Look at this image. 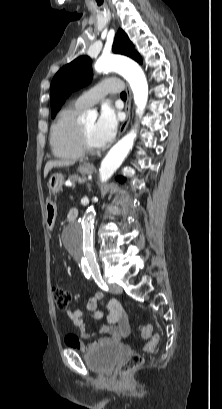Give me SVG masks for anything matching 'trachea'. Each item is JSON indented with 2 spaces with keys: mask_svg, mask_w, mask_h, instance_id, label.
<instances>
[{
  "mask_svg": "<svg viewBox=\"0 0 222 409\" xmlns=\"http://www.w3.org/2000/svg\"><path fill=\"white\" fill-rule=\"evenodd\" d=\"M120 96H121L122 99H126V98H127V95H126L125 92H122V93L120 94Z\"/></svg>",
  "mask_w": 222,
  "mask_h": 409,
  "instance_id": "obj_1",
  "label": "trachea"
}]
</instances>
